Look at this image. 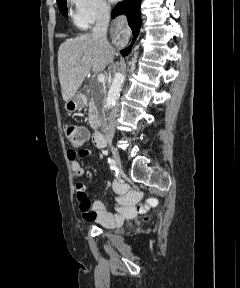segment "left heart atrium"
<instances>
[{
  "instance_id": "1",
  "label": "left heart atrium",
  "mask_w": 240,
  "mask_h": 288,
  "mask_svg": "<svg viewBox=\"0 0 240 288\" xmlns=\"http://www.w3.org/2000/svg\"><path fill=\"white\" fill-rule=\"evenodd\" d=\"M109 1L114 2V1H117V0H109Z\"/></svg>"
}]
</instances>
